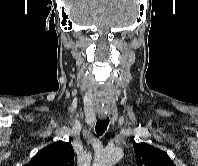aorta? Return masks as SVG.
Returning <instances> with one entry per match:
<instances>
[{"mask_svg":"<svg viewBox=\"0 0 198 166\" xmlns=\"http://www.w3.org/2000/svg\"><path fill=\"white\" fill-rule=\"evenodd\" d=\"M122 156L123 151L120 148L105 149L95 157L93 166H113Z\"/></svg>","mask_w":198,"mask_h":166,"instance_id":"aorta-1","label":"aorta"}]
</instances>
